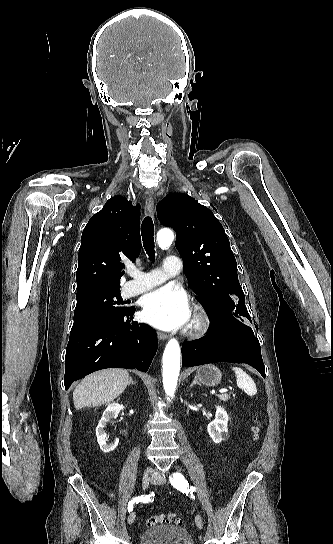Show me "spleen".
I'll use <instances>...</instances> for the list:
<instances>
[{"instance_id": "1", "label": "spleen", "mask_w": 333, "mask_h": 544, "mask_svg": "<svg viewBox=\"0 0 333 544\" xmlns=\"http://www.w3.org/2000/svg\"><path fill=\"white\" fill-rule=\"evenodd\" d=\"M232 369L235 372L238 387L243 389L247 395L254 396L257 392V389L251 377L246 374V372H244L241 368L233 367Z\"/></svg>"}]
</instances>
